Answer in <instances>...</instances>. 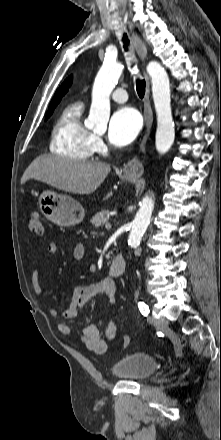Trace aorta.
Returning <instances> with one entry per match:
<instances>
[{"label":"aorta","instance_id":"762f6f07","mask_svg":"<svg viewBox=\"0 0 221 440\" xmlns=\"http://www.w3.org/2000/svg\"><path fill=\"white\" fill-rule=\"evenodd\" d=\"M123 65L104 62L98 72L92 91V103L86 125L91 128H106L110 117V94L118 83ZM151 77L152 95L157 115L155 145L159 153H166L175 138L174 122L171 112L170 82L160 63L151 61L147 65ZM154 209L152 197L143 198L133 222L128 244L136 247L146 231Z\"/></svg>","mask_w":221,"mask_h":440}]
</instances>
